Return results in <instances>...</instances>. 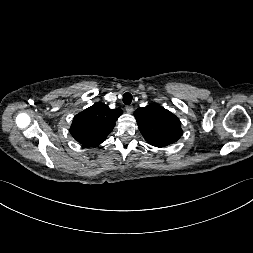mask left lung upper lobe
Instances as JSON below:
<instances>
[{"label":"left lung upper lobe","mask_w":253,"mask_h":253,"mask_svg":"<svg viewBox=\"0 0 253 253\" xmlns=\"http://www.w3.org/2000/svg\"><path fill=\"white\" fill-rule=\"evenodd\" d=\"M134 116L140 132L152 146L165 147L176 142L183 134L180 120L158 104L138 108Z\"/></svg>","instance_id":"left-lung-upper-lobe-1"}]
</instances>
